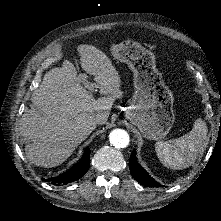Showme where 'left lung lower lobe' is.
Instances as JSON below:
<instances>
[{"label":"left lung lower lobe","instance_id":"obj_1","mask_svg":"<svg viewBox=\"0 0 221 221\" xmlns=\"http://www.w3.org/2000/svg\"><path fill=\"white\" fill-rule=\"evenodd\" d=\"M129 169L132 176L142 185L147 187H160L161 185L156 182L151 176L137 163L135 157V149L131 153L129 161Z\"/></svg>","mask_w":221,"mask_h":221}]
</instances>
